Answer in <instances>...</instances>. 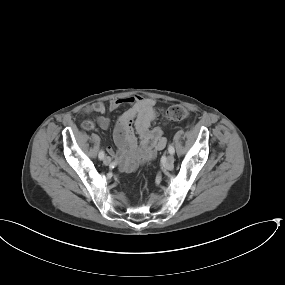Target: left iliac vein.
Returning <instances> with one entry per match:
<instances>
[{"label":"left iliac vein","instance_id":"obj_1","mask_svg":"<svg viewBox=\"0 0 285 285\" xmlns=\"http://www.w3.org/2000/svg\"><path fill=\"white\" fill-rule=\"evenodd\" d=\"M173 163H174V156L172 154H169L166 158V161L164 163V166L167 168V169H170L172 168L173 166Z\"/></svg>","mask_w":285,"mask_h":285}]
</instances>
